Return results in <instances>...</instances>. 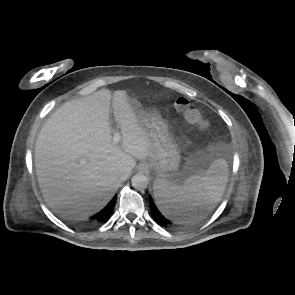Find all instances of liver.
Segmentation results:
<instances>
[{
  "mask_svg": "<svg viewBox=\"0 0 295 295\" xmlns=\"http://www.w3.org/2000/svg\"><path fill=\"white\" fill-rule=\"evenodd\" d=\"M112 104L122 140L114 144ZM134 102L125 90L101 89L58 108L42 126L35 144V167L44 200L58 213L87 217L100 211L151 151Z\"/></svg>",
  "mask_w": 295,
  "mask_h": 295,
  "instance_id": "liver-1",
  "label": "liver"
}]
</instances>
